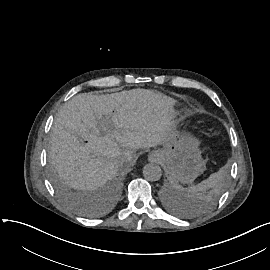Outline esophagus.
Here are the masks:
<instances>
[{
	"label": "esophagus",
	"instance_id": "esophagus-1",
	"mask_svg": "<svg viewBox=\"0 0 270 270\" xmlns=\"http://www.w3.org/2000/svg\"><path fill=\"white\" fill-rule=\"evenodd\" d=\"M158 157L157 154H152L150 157H149V160L152 158L153 160H155L156 158Z\"/></svg>",
	"mask_w": 270,
	"mask_h": 270
}]
</instances>
